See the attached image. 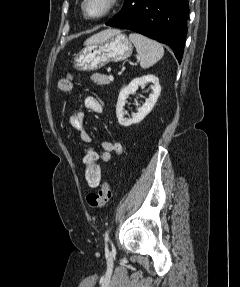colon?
<instances>
[{
    "label": "colon",
    "mask_w": 240,
    "mask_h": 287,
    "mask_svg": "<svg viewBox=\"0 0 240 287\" xmlns=\"http://www.w3.org/2000/svg\"><path fill=\"white\" fill-rule=\"evenodd\" d=\"M58 86L63 94H67L72 87V76L68 74L65 78L61 79ZM82 161L86 183L91 187L98 188L96 192L87 196V203L90 208L99 210L111 197L110 185L102 179V169L99 164L98 154L93 149H84Z\"/></svg>",
    "instance_id": "1"
}]
</instances>
